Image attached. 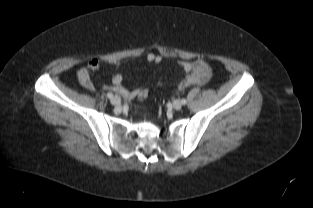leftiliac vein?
I'll return each instance as SVG.
<instances>
[{"mask_svg": "<svg viewBox=\"0 0 313 208\" xmlns=\"http://www.w3.org/2000/svg\"><path fill=\"white\" fill-rule=\"evenodd\" d=\"M173 107H174V109H176V110H180V109L182 108V103H181V101L175 100V101L173 102Z\"/></svg>", "mask_w": 313, "mask_h": 208, "instance_id": "obj_1", "label": "left iliac vein"}]
</instances>
